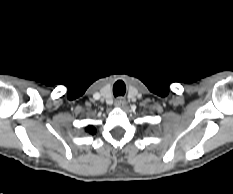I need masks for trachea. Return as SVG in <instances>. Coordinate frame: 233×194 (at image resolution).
<instances>
[{
    "instance_id": "obj_1",
    "label": "trachea",
    "mask_w": 233,
    "mask_h": 194,
    "mask_svg": "<svg viewBox=\"0 0 233 194\" xmlns=\"http://www.w3.org/2000/svg\"><path fill=\"white\" fill-rule=\"evenodd\" d=\"M126 92V86L123 81H117L113 86V94L115 97L123 96Z\"/></svg>"
}]
</instances>
